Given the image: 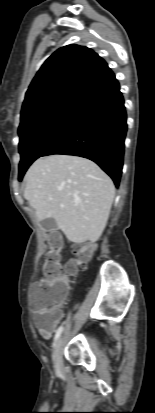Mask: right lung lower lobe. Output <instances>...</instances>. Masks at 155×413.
Listing matches in <instances>:
<instances>
[{"label": "right lung lower lobe", "mask_w": 155, "mask_h": 413, "mask_svg": "<svg viewBox=\"0 0 155 413\" xmlns=\"http://www.w3.org/2000/svg\"><path fill=\"white\" fill-rule=\"evenodd\" d=\"M126 131L124 99L114 78L78 104L64 131L42 156L65 154L88 158L118 187Z\"/></svg>", "instance_id": "98d812e1"}]
</instances>
